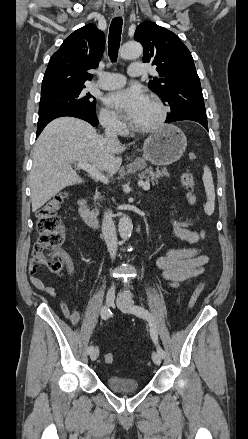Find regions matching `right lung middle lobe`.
<instances>
[{
    "instance_id": "obj_1",
    "label": "right lung middle lobe",
    "mask_w": 248,
    "mask_h": 439,
    "mask_svg": "<svg viewBox=\"0 0 248 439\" xmlns=\"http://www.w3.org/2000/svg\"><path fill=\"white\" fill-rule=\"evenodd\" d=\"M84 87L61 90L41 95L39 116L60 109H85L95 111L96 100L84 91Z\"/></svg>"
}]
</instances>
